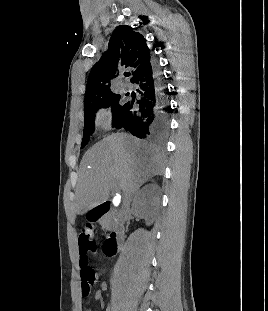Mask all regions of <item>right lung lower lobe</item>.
<instances>
[{
	"label": "right lung lower lobe",
	"mask_w": 268,
	"mask_h": 311,
	"mask_svg": "<svg viewBox=\"0 0 268 311\" xmlns=\"http://www.w3.org/2000/svg\"><path fill=\"white\" fill-rule=\"evenodd\" d=\"M131 82L137 85L138 100L123 105L113 127L124 128L140 139L163 141L170 129V106L155 62Z\"/></svg>",
	"instance_id": "98d812e1"
}]
</instances>
